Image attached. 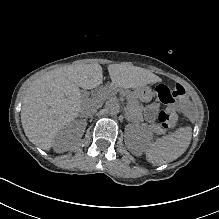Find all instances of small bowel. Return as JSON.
Returning <instances> with one entry per match:
<instances>
[{
  "mask_svg": "<svg viewBox=\"0 0 219 219\" xmlns=\"http://www.w3.org/2000/svg\"><path fill=\"white\" fill-rule=\"evenodd\" d=\"M156 95L157 100L145 108V117L149 121L155 120L161 105H165L167 107L171 106L175 110L182 111L188 117H193L195 115V106L193 103L188 98L180 100L176 103L172 97L170 89L167 86L159 85L156 88Z\"/></svg>",
  "mask_w": 219,
  "mask_h": 219,
  "instance_id": "small-bowel-1",
  "label": "small bowel"
}]
</instances>
